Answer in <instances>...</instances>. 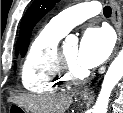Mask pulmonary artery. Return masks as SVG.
<instances>
[{
    "label": "pulmonary artery",
    "mask_w": 123,
    "mask_h": 113,
    "mask_svg": "<svg viewBox=\"0 0 123 113\" xmlns=\"http://www.w3.org/2000/svg\"><path fill=\"white\" fill-rule=\"evenodd\" d=\"M100 12V3L96 1L72 6L53 17L49 26L66 34L71 28Z\"/></svg>",
    "instance_id": "1"
}]
</instances>
